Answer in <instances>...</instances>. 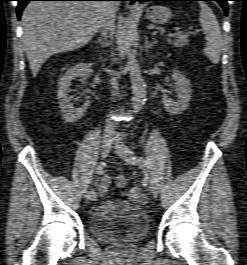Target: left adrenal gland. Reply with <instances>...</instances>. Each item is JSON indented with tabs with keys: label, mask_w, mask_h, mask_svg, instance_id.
<instances>
[{
	"label": "left adrenal gland",
	"mask_w": 247,
	"mask_h": 265,
	"mask_svg": "<svg viewBox=\"0 0 247 265\" xmlns=\"http://www.w3.org/2000/svg\"><path fill=\"white\" fill-rule=\"evenodd\" d=\"M154 44H155V41L150 42V41L148 40V37L145 36V45H144V49H145L146 52H148L149 49H151V48L153 47Z\"/></svg>",
	"instance_id": "1"
}]
</instances>
